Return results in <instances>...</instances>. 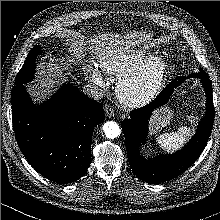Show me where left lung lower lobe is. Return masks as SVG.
Instances as JSON below:
<instances>
[{
    "label": "left lung lower lobe",
    "mask_w": 220,
    "mask_h": 220,
    "mask_svg": "<svg viewBox=\"0 0 220 220\" xmlns=\"http://www.w3.org/2000/svg\"><path fill=\"white\" fill-rule=\"evenodd\" d=\"M190 77L200 79L206 93V114L201 119L196 134L191 141L173 155L158 156L153 160H146L140 156L139 147L144 143L148 132V120L152 111L165 105L177 88L185 81V77L173 80L148 105L131 111L130 118L121 122L126 139L127 155L133 172L142 180L150 183L168 181L185 172L200 156L210 137L213 120L212 84L208 75L195 73Z\"/></svg>",
    "instance_id": "obj_1"
}]
</instances>
